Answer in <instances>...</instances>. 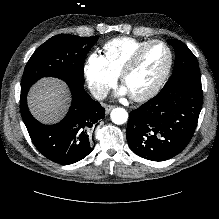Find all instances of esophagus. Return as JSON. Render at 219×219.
I'll list each match as a JSON object with an SVG mask.
<instances>
[{
	"mask_svg": "<svg viewBox=\"0 0 219 219\" xmlns=\"http://www.w3.org/2000/svg\"><path fill=\"white\" fill-rule=\"evenodd\" d=\"M114 108H115V106H113V105H106L105 106V113L109 114V112Z\"/></svg>",
	"mask_w": 219,
	"mask_h": 219,
	"instance_id": "esophagus-1",
	"label": "esophagus"
}]
</instances>
